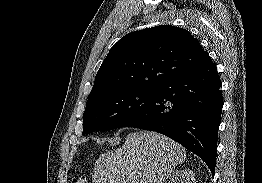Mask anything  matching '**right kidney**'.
Returning a JSON list of instances; mask_svg holds the SVG:
<instances>
[{
  "label": "right kidney",
  "instance_id": "obj_1",
  "mask_svg": "<svg viewBox=\"0 0 262 183\" xmlns=\"http://www.w3.org/2000/svg\"><path fill=\"white\" fill-rule=\"evenodd\" d=\"M168 183H196L195 174L191 170H176Z\"/></svg>",
  "mask_w": 262,
  "mask_h": 183
}]
</instances>
